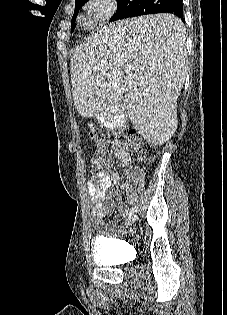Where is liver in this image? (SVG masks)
I'll return each instance as SVG.
<instances>
[{
	"label": "liver",
	"mask_w": 227,
	"mask_h": 315,
	"mask_svg": "<svg viewBox=\"0 0 227 315\" xmlns=\"http://www.w3.org/2000/svg\"><path fill=\"white\" fill-rule=\"evenodd\" d=\"M188 65L178 17L160 13L110 23L71 57L74 105L82 117H93L123 100L138 133L162 145L177 128L176 103Z\"/></svg>",
	"instance_id": "1"
}]
</instances>
